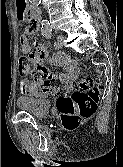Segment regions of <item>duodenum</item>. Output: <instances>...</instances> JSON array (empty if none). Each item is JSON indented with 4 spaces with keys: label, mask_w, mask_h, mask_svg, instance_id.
Masks as SVG:
<instances>
[{
    "label": "duodenum",
    "mask_w": 123,
    "mask_h": 167,
    "mask_svg": "<svg viewBox=\"0 0 123 167\" xmlns=\"http://www.w3.org/2000/svg\"><path fill=\"white\" fill-rule=\"evenodd\" d=\"M28 1V0H27ZM31 17H33L36 20V25H37V29L39 28V21H40V16L39 14L36 12V10H32L31 11Z\"/></svg>",
    "instance_id": "duodenum-1"
}]
</instances>
